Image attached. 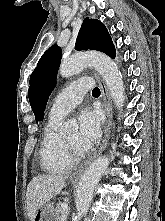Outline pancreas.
<instances>
[{"instance_id":"obj_1","label":"pancreas","mask_w":165,"mask_h":221,"mask_svg":"<svg viewBox=\"0 0 165 221\" xmlns=\"http://www.w3.org/2000/svg\"><path fill=\"white\" fill-rule=\"evenodd\" d=\"M56 217H57V221H62V215H63V208H62V203L59 202L56 204L55 208H54Z\"/></svg>"}]
</instances>
